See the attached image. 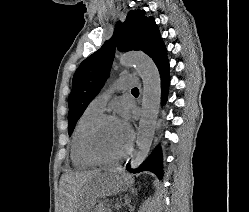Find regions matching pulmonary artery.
Masks as SVG:
<instances>
[{
    "label": "pulmonary artery",
    "instance_id": "pulmonary-artery-1",
    "mask_svg": "<svg viewBox=\"0 0 249 212\" xmlns=\"http://www.w3.org/2000/svg\"><path fill=\"white\" fill-rule=\"evenodd\" d=\"M128 75L121 76L118 79H116L109 89L102 91L99 93L96 97L93 98L90 105L94 107L95 109L99 111H103L105 109L106 103L108 99L110 98L111 94L116 90H129L133 86L131 84H128L124 82V79L127 78Z\"/></svg>",
    "mask_w": 249,
    "mask_h": 212
}]
</instances>
